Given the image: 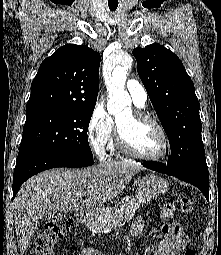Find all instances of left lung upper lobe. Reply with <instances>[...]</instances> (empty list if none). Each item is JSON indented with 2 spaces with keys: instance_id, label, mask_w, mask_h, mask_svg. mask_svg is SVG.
I'll list each match as a JSON object with an SVG mask.
<instances>
[{
  "instance_id": "5c2ea615",
  "label": "left lung upper lobe",
  "mask_w": 221,
  "mask_h": 255,
  "mask_svg": "<svg viewBox=\"0 0 221 255\" xmlns=\"http://www.w3.org/2000/svg\"><path fill=\"white\" fill-rule=\"evenodd\" d=\"M137 71L170 142L173 170L206 163L194 84L181 60L159 44L133 50Z\"/></svg>"
}]
</instances>
